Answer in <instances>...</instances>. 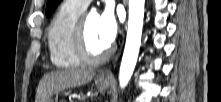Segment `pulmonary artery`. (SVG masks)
Wrapping results in <instances>:
<instances>
[{
  "instance_id": "obj_1",
  "label": "pulmonary artery",
  "mask_w": 221,
  "mask_h": 102,
  "mask_svg": "<svg viewBox=\"0 0 221 102\" xmlns=\"http://www.w3.org/2000/svg\"><path fill=\"white\" fill-rule=\"evenodd\" d=\"M75 3L79 4L80 6L86 8L88 4L91 2V0H72Z\"/></svg>"
}]
</instances>
